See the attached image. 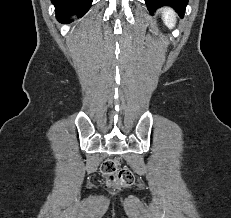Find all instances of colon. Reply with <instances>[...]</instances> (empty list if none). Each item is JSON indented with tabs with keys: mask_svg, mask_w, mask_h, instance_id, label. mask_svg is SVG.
<instances>
[{
	"mask_svg": "<svg viewBox=\"0 0 231 218\" xmlns=\"http://www.w3.org/2000/svg\"><path fill=\"white\" fill-rule=\"evenodd\" d=\"M100 171L104 182L109 186L129 187L135 181L133 172L127 167L120 168L118 160L114 158L104 160Z\"/></svg>",
	"mask_w": 231,
	"mask_h": 218,
	"instance_id": "colon-1",
	"label": "colon"
}]
</instances>
